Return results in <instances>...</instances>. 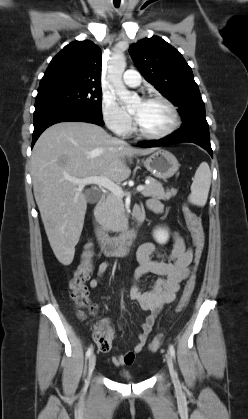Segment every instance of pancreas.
<instances>
[{
	"mask_svg": "<svg viewBox=\"0 0 248 419\" xmlns=\"http://www.w3.org/2000/svg\"><path fill=\"white\" fill-rule=\"evenodd\" d=\"M149 184L141 191L145 197H155L161 200H169L177 194V189L164 190L162 184L153 177L148 176ZM103 227L108 231L118 232L127 226L124 203L121 196L111 194L107 197L103 207Z\"/></svg>",
	"mask_w": 248,
	"mask_h": 419,
	"instance_id": "pancreas-1",
	"label": "pancreas"
}]
</instances>
